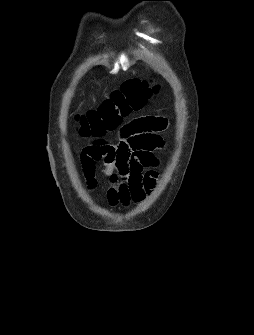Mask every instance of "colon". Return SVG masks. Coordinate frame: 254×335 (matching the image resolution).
<instances>
[{"instance_id": "5ec220e1", "label": "colon", "mask_w": 254, "mask_h": 335, "mask_svg": "<svg viewBox=\"0 0 254 335\" xmlns=\"http://www.w3.org/2000/svg\"><path fill=\"white\" fill-rule=\"evenodd\" d=\"M157 90V86L146 80L126 81L121 89L112 92L97 109L79 116L80 135L98 139L107 132L117 130L122 119L141 110Z\"/></svg>"}]
</instances>
